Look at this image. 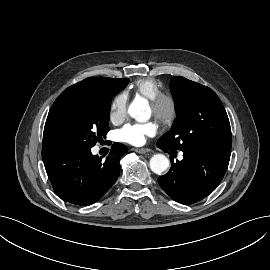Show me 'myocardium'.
I'll list each match as a JSON object with an SVG mask.
<instances>
[{
  "instance_id": "1",
  "label": "myocardium",
  "mask_w": 270,
  "mask_h": 270,
  "mask_svg": "<svg viewBox=\"0 0 270 270\" xmlns=\"http://www.w3.org/2000/svg\"><path fill=\"white\" fill-rule=\"evenodd\" d=\"M153 115L164 125L172 124L178 113L176 98L166 92H161L150 100Z\"/></svg>"
}]
</instances>
